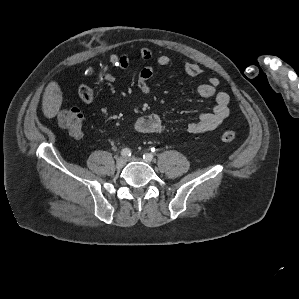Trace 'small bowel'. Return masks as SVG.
Masks as SVG:
<instances>
[{"mask_svg":"<svg viewBox=\"0 0 299 299\" xmlns=\"http://www.w3.org/2000/svg\"><path fill=\"white\" fill-rule=\"evenodd\" d=\"M136 55L145 61H153L159 66H170L173 63L171 57L167 55H159L157 57L153 56V53L148 48H140L136 50ZM111 66L119 69H126L130 63V57L127 54L117 55L112 54L109 58ZM98 71L96 67L90 68L87 71V75H93ZM183 71L191 76L197 77L204 73L201 66L196 63L185 62L183 64ZM154 72V66L148 65L144 67L139 75L137 85L139 90L143 94L150 93V86L148 84L149 79L152 77ZM104 77L109 82H115L117 77L112 72H106ZM219 79L217 77H210L208 82L201 84L196 87L195 92L204 98L213 97L215 100V106L212 111L202 113L199 118L189 123L185 127V132L189 134H198L216 129L229 115V96L223 91H219ZM78 96L82 102L86 104H91L94 100V92L92 88L87 84H81L78 89ZM135 128L138 132L144 134H159L166 131L161 118L156 114L146 115L140 117L136 123Z\"/></svg>","mask_w":299,"mask_h":299,"instance_id":"1","label":"small bowel"}]
</instances>
